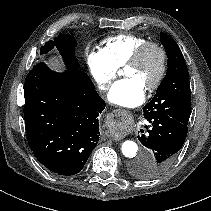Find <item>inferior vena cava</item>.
<instances>
[{
	"label": "inferior vena cava",
	"mask_w": 211,
	"mask_h": 211,
	"mask_svg": "<svg viewBox=\"0 0 211 211\" xmlns=\"http://www.w3.org/2000/svg\"><path fill=\"white\" fill-rule=\"evenodd\" d=\"M99 88H104V86H99Z\"/></svg>",
	"instance_id": "inferior-vena-cava-1"
}]
</instances>
